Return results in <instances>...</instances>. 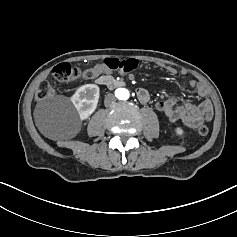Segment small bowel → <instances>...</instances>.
I'll use <instances>...</instances> for the list:
<instances>
[{
  "label": "small bowel",
  "instance_id": "obj_1",
  "mask_svg": "<svg viewBox=\"0 0 237 237\" xmlns=\"http://www.w3.org/2000/svg\"><path fill=\"white\" fill-rule=\"evenodd\" d=\"M165 69L169 74L177 73L176 68L172 66H166ZM110 71L103 63H99L83 71L81 76L85 79H93ZM182 73L186 74V71L184 70ZM189 84L197 90L200 98H204L201 103L197 105L190 102L178 103L176 99L171 98L155 101L154 108L164 114L172 123L180 122L188 128H196L213 118V105L209 99H205L207 90L202 83L191 80ZM136 97L142 104L151 102L150 93L144 88L136 89Z\"/></svg>",
  "mask_w": 237,
  "mask_h": 237
}]
</instances>
